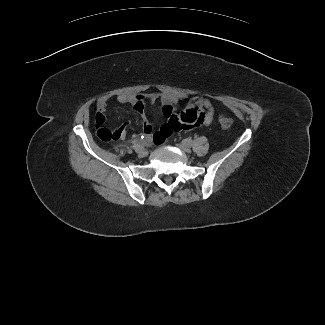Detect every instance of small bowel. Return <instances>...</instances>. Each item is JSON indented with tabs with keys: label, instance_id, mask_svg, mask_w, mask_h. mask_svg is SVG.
<instances>
[{
	"label": "small bowel",
	"instance_id": "c3829d8e",
	"mask_svg": "<svg viewBox=\"0 0 325 325\" xmlns=\"http://www.w3.org/2000/svg\"><path fill=\"white\" fill-rule=\"evenodd\" d=\"M122 104H130L140 115L142 120L143 132L148 136H154L156 141L163 142L173 132L180 130H190L197 126L209 125L214 117V106L212 102L200 96L192 97L185 111L178 113L176 106L181 100H185L187 95L183 93H146V94H128L120 93L114 96ZM111 95L102 96L97 102V112L95 123L97 126H103L106 122V108ZM161 104V112L166 119V123L155 131V125L146 115V105L148 103ZM128 121L123 122L117 130L121 132L120 138H124Z\"/></svg>",
	"mask_w": 325,
	"mask_h": 325
}]
</instances>
